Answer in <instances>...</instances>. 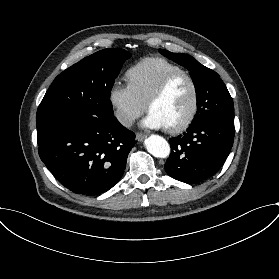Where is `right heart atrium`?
<instances>
[{
  "mask_svg": "<svg viewBox=\"0 0 279 279\" xmlns=\"http://www.w3.org/2000/svg\"><path fill=\"white\" fill-rule=\"evenodd\" d=\"M108 102L116 121L123 127H129L146 109V102L136 95L131 86L119 82L109 88Z\"/></svg>",
  "mask_w": 279,
  "mask_h": 279,
  "instance_id": "1",
  "label": "right heart atrium"
}]
</instances>
